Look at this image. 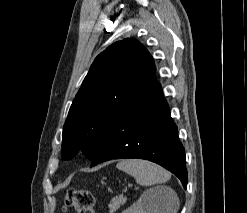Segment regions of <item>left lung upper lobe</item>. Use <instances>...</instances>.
I'll return each mask as SVG.
<instances>
[{"label":"left lung upper lobe","instance_id":"5c2ea615","mask_svg":"<svg viewBox=\"0 0 247 213\" xmlns=\"http://www.w3.org/2000/svg\"><path fill=\"white\" fill-rule=\"evenodd\" d=\"M153 67L152 56L133 38L115 42L95 58L63 127L62 159L80 150L90 160L95 156Z\"/></svg>","mask_w":247,"mask_h":213}]
</instances>
